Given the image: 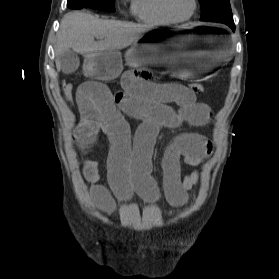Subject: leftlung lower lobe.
Listing matches in <instances>:
<instances>
[{"label":"left lung lower lobe","mask_w":279,"mask_h":279,"mask_svg":"<svg viewBox=\"0 0 279 279\" xmlns=\"http://www.w3.org/2000/svg\"><path fill=\"white\" fill-rule=\"evenodd\" d=\"M221 23L228 25L232 29L233 32L235 31V25H234L233 20H225V21H222Z\"/></svg>","instance_id":"0a47b994"}]
</instances>
